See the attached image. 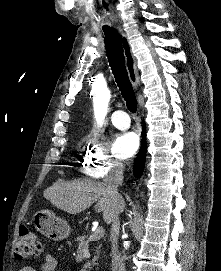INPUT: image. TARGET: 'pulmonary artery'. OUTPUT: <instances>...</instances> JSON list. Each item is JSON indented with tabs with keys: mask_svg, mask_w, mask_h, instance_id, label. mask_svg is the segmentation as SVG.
<instances>
[{
	"mask_svg": "<svg viewBox=\"0 0 221 271\" xmlns=\"http://www.w3.org/2000/svg\"><path fill=\"white\" fill-rule=\"evenodd\" d=\"M112 121L114 122V125L120 129V130H126L128 129V126L130 125L131 118L127 117V112H112L111 113Z\"/></svg>",
	"mask_w": 221,
	"mask_h": 271,
	"instance_id": "e3ab8cb5",
	"label": "pulmonary artery"
}]
</instances>
